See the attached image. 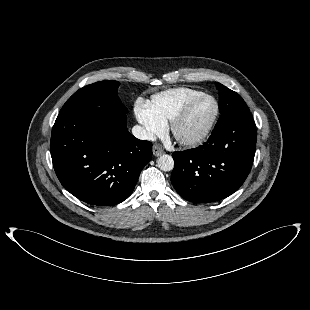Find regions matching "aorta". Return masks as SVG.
I'll return each instance as SVG.
<instances>
[{
    "instance_id": "1",
    "label": "aorta",
    "mask_w": 310,
    "mask_h": 310,
    "mask_svg": "<svg viewBox=\"0 0 310 310\" xmlns=\"http://www.w3.org/2000/svg\"><path fill=\"white\" fill-rule=\"evenodd\" d=\"M157 165L162 171H171L174 168V160L172 156L164 154L158 158Z\"/></svg>"
}]
</instances>
